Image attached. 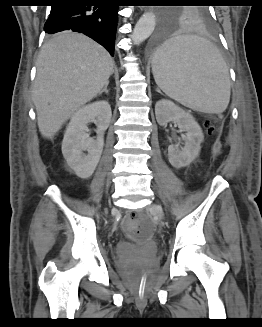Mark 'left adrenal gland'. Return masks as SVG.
Listing matches in <instances>:
<instances>
[{
  "mask_svg": "<svg viewBox=\"0 0 262 327\" xmlns=\"http://www.w3.org/2000/svg\"><path fill=\"white\" fill-rule=\"evenodd\" d=\"M156 91H157V92H160V90H159V89H157Z\"/></svg>",
  "mask_w": 262,
  "mask_h": 327,
  "instance_id": "left-adrenal-gland-1",
  "label": "left adrenal gland"
}]
</instances>
